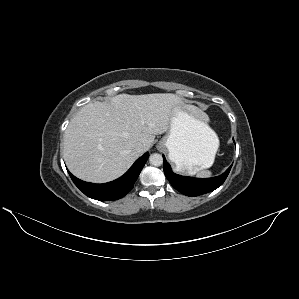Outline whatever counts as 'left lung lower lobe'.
Listing matches in <instances>:
<instances>
[{"label": "left lung lower lobe", "mask_w": 299, "mask_h": 299, "mask_svg": "<svg viewBox=\"0 0 299 299\" xmlns=\"http://www.w3.org/2000/svg\"><path fill=\"white\" fill-rule=\"evenodd\" d=\"M164 173L171 185L187 196H198L211 192L221 186L227 178L231 166L220 176L213 178L185 177L172 172L170 165L163 156Z\"/></svg>", "instance_id": "obj_1"}]
</instances>
